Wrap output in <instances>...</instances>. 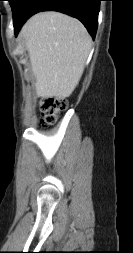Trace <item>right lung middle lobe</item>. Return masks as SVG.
Wrapping results in <instances>:
<instances>
[{
    "instance_id": "dd1d6c3e",
    "label": "right lung middle lobe",
    "mask_w": 133,
    "mask_h": 253,
    "mask_svg": "<svg viewBox=\"0 0 133 253\" xmlns=\"http://www.w3.org/2000/svg\"><path fill=\"white\" fill-rule=\"evenodd\" d=\"M13 12V24L18 20L21 7L25 0H8Z\"/></svg>"
}]
</instances>
